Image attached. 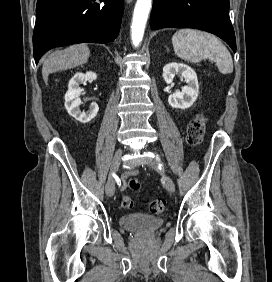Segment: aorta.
I'll use <instances>...</instances> for the list:
<instances>
[{"label":"aorta","mask_w":272,"mask_h":282,"mask_svg":"<svg viewBox=\"0 0 272 282\" xmlns=\"http://www.w3.org/2000/svg\"><path fill=\"white\" fill-rule=\"evenodd\" d=\"M151 3L152 0H137L136 2L131 25V40L135 47L142 42Z\"/></svg>","instance_id":"1"}]
</instances>
